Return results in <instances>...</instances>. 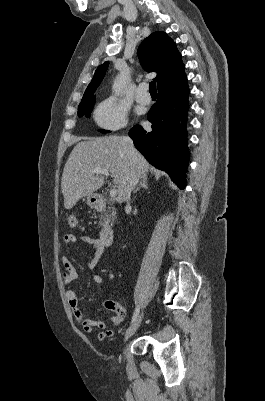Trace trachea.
<instances>
[{
    "mask_svg": "<svg viewBox=\"0 0 265 401\" xmlns=\"http://www.w3.org/2000/svg\"><path fill=\"white\" fill-rule=\"evenodd\" d=\"M149 91H150V92H157V90H156V83H155V82H150V83H149Z\"/></svg>",
    "mask_w": 265,
    "mask_h": 401,
    "instance_id": "obj_1",
    "label": "trachea"
}]
</instances>
